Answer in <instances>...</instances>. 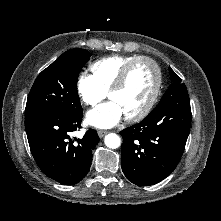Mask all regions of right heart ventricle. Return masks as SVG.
<instances>
[{"instance_id":"obj_1","label":"right heart ventricle","mask_w":221,"mask_h":221,"mask_svg":"<svg viewBox=\"0 0 221 221\" xmlns=\"http://www.w3.org/2000/svg\"><path fill=\"white\" fill-rule=\"evenodd\" d=\"M136 57L134 55H112L98 59L90 65L92 78L98 87L107 93L123 67Z\"/></svg>"}]
</instances>
